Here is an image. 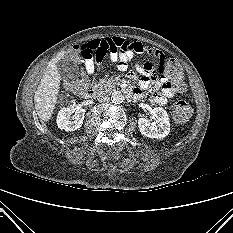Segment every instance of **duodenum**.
<instances>
[{
    "label": "duodenum",
    "mask_w": 233,
    "mask_h": 233,
    "mask_svg": "<svg viewBox=\"0 0 233 233\" xmlns=\"http://www.w3.org/2000/svg\"><path fill=\"white\" fill-rule=\"evenodd\" d=\"M125 93L129 98L136 97L135 93L132 90H126ZM83 94H84V97L88 99H93L99 94V90L96 87H91L87 89L86 91H84Z\"/></svg>",
    "instance_id": "410a0bca"
}]
</instances>
